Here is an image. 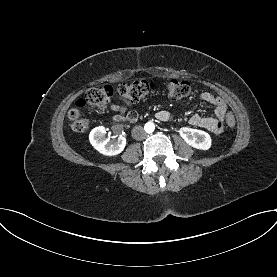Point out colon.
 I'll list each match as a JSON object with an SVG mask.
<instances>
[{"label":"colon","mask_w":277,"mask_h":277,"mask_svg":"<svg viewBox=\"0 0 277 277\" xmlns=\"http://www.w3.org/2000/svg\"><path fill=\"white\" fill-rule=\"evenodd\" d=\"M155 88V84L147 80L121 83L116 89L111 85H101L91 88L87 91L85 97L77 100L75 106L68 112V118L72 121V129L77 133H82L89 128L90 121L86 118H80L81 109L87 104L94 105L98 108H105L109 105L115 91L121 98L127 101L138 102L153 92ZM165 89L171 99L178 100L190 93V84L187 81L170 79L166 82ZM224 121L228 123L229 127H233L236 123L234 113L227 111L224 116Z\"/></svg>","instance_id":"colon-1"}]
</instances>
